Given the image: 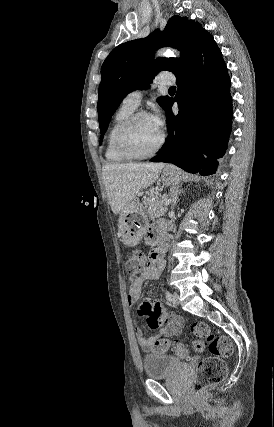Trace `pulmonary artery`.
<instances>
[{"instance_id":"pulmonary-artery-1","label":"pulmonary artery","mask_w":274,"mask_h":427,"mask_svg":"<svg viewBox=\"0 0 274 427\" xmlns=\"http://www.w3.org/2000/svg\"><path fill=\"white\" fill-rule=\"evenodd\" d=\"M174 79L171 76L164 77L161 79V81L156 80L155 83L157 84H167L171 85L173 84ZM142 98V91L136 90L132 93L128 94L126 98L123 100L122 107L130 109V110H136L141 103Z\"/></svg>"}]
</instances>
